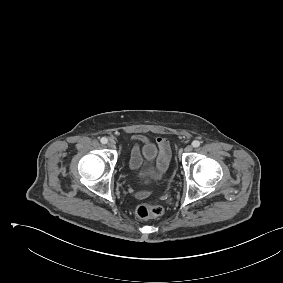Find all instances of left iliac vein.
<instances>
[{"mask_svg":"<svg viewBox=\"0 0 283 283\" xmlns=\"http://www.w3.org/2000/svg\"><path fill=\"white\" fill-rule=\"evenodd\" d=\"M192 149H193V147L191 145H188V146L185 147L184 150H185V152H191Z\"/></svg>","mask_w":283,"mask_h":283,"instance_id":"1","label":"left iliac vein"}]
</instances>
